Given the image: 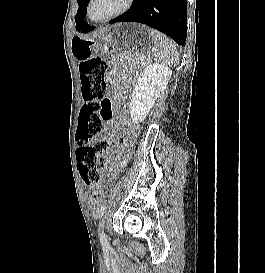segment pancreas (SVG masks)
<instances>
[{"mask_svg": "<svg viewBox=\"0 0 265 273\" xmlns=\"http://www.w3.org/2000/svg\"><path fill=\"white\" fill-rule=\"evenodd\" d=\"M138 63L144 64V62L142 60H139Z\"/></svg>", "mask_w": 265, "mask_h": 273, "instance_id": "obj_1", "label": "pancreas"}]
</instances>
